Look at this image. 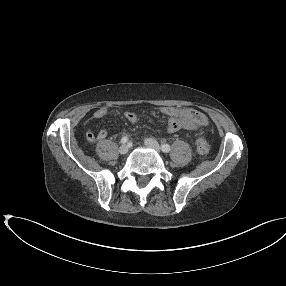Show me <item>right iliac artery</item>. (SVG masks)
Wrapping results in <instances>:
<instances>
[{"label":"right iliac artery","mask_w":286,"mask_h":286,"mask_svg":"<svg viewBox=\"0 0 286 286\" xmlns=\"http://www.w3.org/2000/svg\"><path fill=\"white\" fill-rule=\"evenodd\" d=\"M128 142V138L126 136L122 137L121 143L126 144Z\"/></svg>","instance_id":"right-iliac-artery-1"}]
</instances>
